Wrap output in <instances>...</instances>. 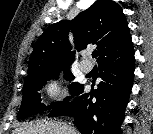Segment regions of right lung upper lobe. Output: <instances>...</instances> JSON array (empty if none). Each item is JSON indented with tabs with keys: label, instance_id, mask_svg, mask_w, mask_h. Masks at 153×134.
I'll return each instance as SVG.
<instances>
[{
	"label": "right lung upper lobe",
	"instance_id": "right-lung-upper-lobe-1",
	"mask_svg": "<svg viewBox=\"0 0 153 134\" xmlns=\"http://www.w3.org/2000/svg\"><path fill=\"white\" fill-rule=\"evenodd\" d=\"M70 30L78 51L90 44L97 45L100 53L98 61L131 41L121 6L112 0H97L74 20H61L44 31L34 45L28 63V76L71 64L74 57L68 40Z\"/></svg>",
	"mask_w": 153,
	"mask_h": 134
}]
</instances>
